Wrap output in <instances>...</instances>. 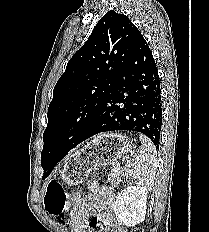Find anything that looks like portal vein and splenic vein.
Instances as JSON below:
<instances>
[{
    "mask_svg": "<svg viewBox=\"0 0 209 232\" xmlns=\"http://www.w3.org/2000/svg\"><path fill=\"white\" fill-rule=\"evenodd\" d=\"M120 167V164L118 163L115 167H114V169H117V168H119Z\"/></svg>",
    "mask_w": 209,
    "mask_h": 232,
    "instance_id": "obj_1",
    "label": "portal vein and splenic vein"
}]
</instances>
